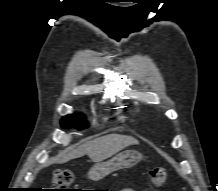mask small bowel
<instances>
[{
    "label": "small bowel",
    "mask_w": 218,
    "mask_h": 191,
    "mask_svg": "<svg viewBox=\"0 0 218 191\" xmlns=\"http://www.w3.org/2000/svg\"><path fill=\"white\" fill-rule=\"evenodd\" d=\"M122 191H135V190L130 189V188H126V189H123Z\"/></svg>",
    "instance_id": "1"
}]
</instances>
